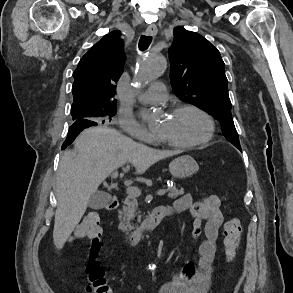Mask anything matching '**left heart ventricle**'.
I'll list each match as a JSON object with an SVG mask.
<instances>
[{"instance_id":"b2bd125f","label":"left heart ventricle","mask_w":293,"mask_h":293,"mask_svg":"<svg viewBox=\"0 0 293 293\" xmlns=\"http://www.w3.org/2000/svg\"><path fill=\"white\" fill-rule=\"evenodd\" d=\"M157 132L180 142H194L203 138L207 132L205 119L194 111H184L168 115L160 123Z\"/></svg>"}]
</instances>
